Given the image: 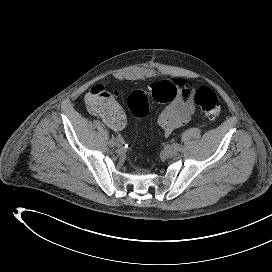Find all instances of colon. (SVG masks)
<instances>
[{"mask_svg": "<svg viewBox=\"0 0 272 272\" xmlns=\"http://www.w3.org/2000/svg\"><path fill=\"white\" fill-rule=\"evenodd\" d=\"M178 95L183 98H193L195 104L205 117L213 119L220 114L221 104L214 90L205 85L196 87L183 86L180 89L172 80H161L151 84L146 90L133 91L127 101L131 114L144 118L149 111V101L160 103L173 101ZM113 94L102 85H95L86 97L89 109L97 115H106L112 104Z\"/></svg>", "mask_w": 272, "mask_h": 272, "instance_id": "colon-1", "label": "colon"}]
</instances>
